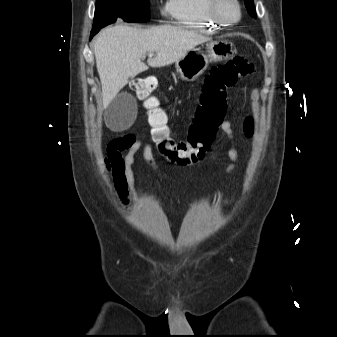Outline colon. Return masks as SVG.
I'll return each instance as SVG.
<instances>
[{
	"mask_svg": "<svg viewBox=\"0 0 337 337\" xmlns=\"http://www.w3.org/2000/svg\"><path fill=\"white\" fill-rule=\"evenodd\" d=\"M253 71L254 65L239 56L213 67L205 78L188 136L184 140L173 137L165 115L154 103H150L149 133H152L159 155L178 165L201 159L209 150L226 114L227 91ZM156 87V78L150 76L140 77L133 82V90L143 98H148ZM254 129V120L248 116L243 123L244 134L252 137Z\"/></svg>",
	"mask_w": 337,
	"mask_h": 337,
	"instance_id": "obj_1",
	"label": "colon"
}]
</instances>
